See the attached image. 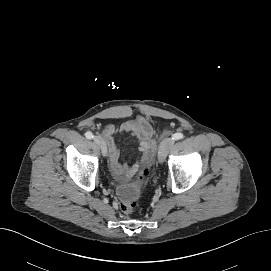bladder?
<instances>
[{
    "mask_svg": "<svg viewBox=\"0 0 271 271\" xmlns=\"http://www.w3.org/2000/svg\"><path fill=\"white\" fill-rule=\"evenodd\" d=\"M116 194L123 201H136L140 196V186L136 184H119Z\"/></svg>",
    "mask_w": 271,
    "mask_h": 271,
    "instance_id": "bladder-1",
    "label": "bladder"
}]
</instances>
